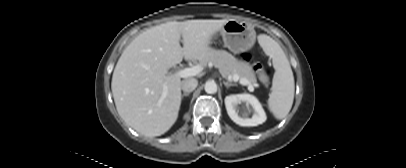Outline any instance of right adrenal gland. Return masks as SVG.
<instances>
[{
  "label": "right adrenal gland",
  "mask_w": 406,
  "mask_h": 168,
  "mask_svg": "<svg viewBox=\"0 0 406 168\" xmlns=\"http://www.w3.org/2000/svg\"><path fill=\"white\" fill-rule=\"evenodd\" d=\"M189 95H190L189 93H183V94L181 95V98L187 97V96H189Z\"/></svg>",
  "instance_id": "right-adrenal-gland-1"
}]
</instances>
